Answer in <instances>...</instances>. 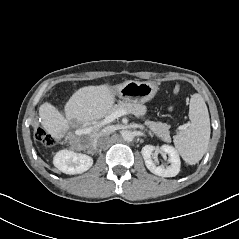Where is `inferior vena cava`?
Segmentation results:
<instances>
[{"label":"inferior vena cava","instance_id":"1","mask_svg":"<svg viewBox=\"0 0 239 239\" xmlns=\"http://www.w3.org/2000/svg\"><path fill=\"white\" fill-rule=\"evenodd\" d=\"M111 133L110 129H104L102 130L95 138V145L97 143H101L105 138L108 137V135Z\"/></svg>","mask_w":239,"mask_h":239}]
</instances>
